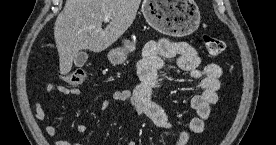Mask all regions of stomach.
<instances>
[{"label": "stomach", "mask_w": 276, "mask_h": 145, "mask_svg": "<svg viewBox=\"0 0 276 145\" xmlns=\"http://www.w3.org/2000/svg\"><path fill=\"white\" fill-rule=\"evenodd\" d=\"M142 12L151 27L172 37L190 35L200 24V11L194 0H144ZM123 44L108 53L112 64L123 63L135 49L133 41L125 39Z\"/></svg>", "instance_id": "stomach-1"}]
</instances>
